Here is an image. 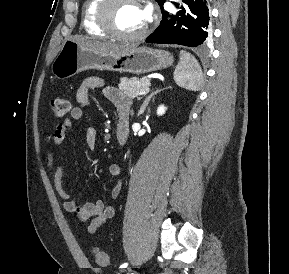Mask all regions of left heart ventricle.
<instances>
[{
    "mask_svg": "<svg viewBox=\"0 0 289 274\" xmlns=\"http://www.w3.org/2000/svg\"><path fill=\"white\" fill-rule=\"evenodd\" d=\"M143 8L141 5L124 2L119 4L113 13L115 28L124 34L139 32L146 24Z\"/></svg>",
    "mask_w": 289,
    "mask_h": 274,
    "instance_id": "left-heart-ventricle-1",
    "label": "left heart ventricle"
}]
</instances>
